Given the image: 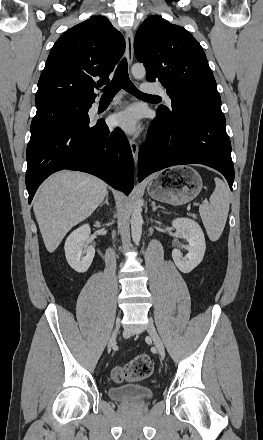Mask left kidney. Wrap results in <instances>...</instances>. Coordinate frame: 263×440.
Returning <instances> with one entry per match:
<instances>
[{
	"mask_svg": "<svg viewBox=\"0 0 263 440\" xmlns=\"http://www.w3.org/2000/svg\"><path fill=\"white\" fill-rule=\"evenodd\" d=\"M172 227L188 242L185 247L188 250L186 257H182L179 249H173L172 258L181 272L190 273L203 260L206 250L204 233L197 222L188 218L173 220Z\"/></svg>",
	"mask_w": 263,
	"mask_h": 440,
	"instance_id": "5707ae66",
	"label": "left kidney"
}]
</instances>
